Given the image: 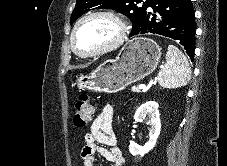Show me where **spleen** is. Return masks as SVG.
<instances>
[{
  "instance_id": "3e777b00",
  "label": "spleen",
  "mask_w": 227,
  "mask_h": 166,
  "mask_svg": "<svg viewBox=\"0 0 227 166\" xmlns=\"http://www.w3.org/2000/svg\"><path fill=\"white\" fill-rule=\"evenodd\" d=\"M191 79V68L187 57L176 46L169 45L166 63L157 75L160 86L178 88L188 84Z\"/></svg>"
}]
</instances>
